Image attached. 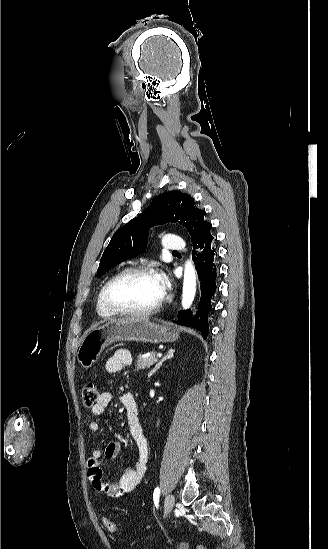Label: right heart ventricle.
Segmentation results:
<instances>
[{
	"label": "right heart ventricle",
	"mask_w": 328,
	"mask_h": 549,
	"mask_svg": "<svg viewBox=\"0 0 328 549\" xmlns=\"http://www.w3.org/2000/svg\"><path fill=\"white\" fill-rule=\"evenodd\" d=\"M102 290H103V287L101 288L98 296H97V301H96V312L98 314V316L101 318V319H104V320H109L111 319L113 316H110L109 314H107L104 310V304H103V300H102Z\"/></svg>",
	"instance_id": "right-heart-ventricle-1"
}]
</instances>
